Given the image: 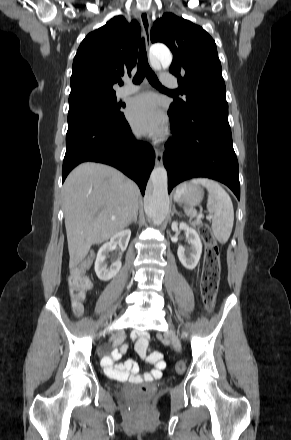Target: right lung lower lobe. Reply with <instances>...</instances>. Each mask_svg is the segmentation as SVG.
Masks as SVG:
<instances>
[{
  "mask_svg": "<svg viewBox=\"0 0 291 440\" xmlns=\"http://www.w3.org/2000/svg\"><path fill=\"white\" fill-rule=\"evenodd\" d=\"M154 160L152 147L134 139L123 113L113 119L90 113L68 115L62 182L78 164L100 162L133 179L144 195Z\"/></svg>",
  "mask_w": 291,
  "mask_h": 440,
  "instance_id": "1",
  "label": "right lung lower lobe"
}]
</instances>
